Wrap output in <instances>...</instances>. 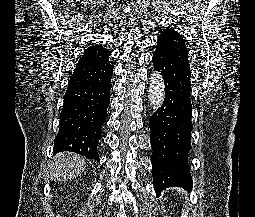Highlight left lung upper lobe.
I'll list each match as a JSON object with an SVG mask.
<instances>
[{"mask_svg": "<svg viewBox=\"0 0 255 217\" xmlns=\"http://www.w3.org/2000/svg\"><path fill=\"white\" fill-rule=\"evenodd\" d=\"M157 46L166 48L177 53L179 56L188 58V50L183 37L179 32L169 27L160 31V35L157 39Z\"/></svg>", "mask_w": 255, "mask_h": 217, "instance_id": "5c2ea615", "label": "left lung upper lobe"}]
</instances>
